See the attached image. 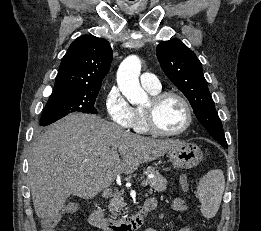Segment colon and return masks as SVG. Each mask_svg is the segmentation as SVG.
I'll use <instances>...</instances> for the list:
<instances>
[{"instance_id": "obj_1", "label": "colon", "mask_w": 261, "mask_h": 231, "mask_svg": "<svg viewBox=\"0 0 261 231\" xmlns=\"http://www.w3.org/2000/svg\"><path fill=\"white\" fill-rule=\"evenodd\" d=\"M180 185L183 189L185 187V183L182 179H180ZM79 211V205L77 203H69L66 206L50 213L47 218L42 221V230L41 231H56V222L60 216L66 214H74Z\"/></svg>"}]
</instances>
